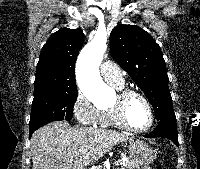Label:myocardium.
<instances>
[{
	"mask_svg": "<svg viewBox=\"0 0 200 169\" xmlns=\"http://www.w3.org/2000/svg\"><path fill=\"white\" fill-rule=\"evenodd\" d=\"M133 96L141 98L145 102L149 110L150 120H149V123L143 128H134L129 124L127 120L126 105H127L128 100ZM112 106L114 108L118 122L126 130H129L135 133H142V132L148 131L154 123L155 114H154L153 106L150 100L147 98V96L138 90L131 89V88H122L118 90L116 98Z\"/></svg>",
	"mask_w": 200,
	"mask_h": 169,
	"instance_id": "myocardium-1",
	"label": "myocardium"
}]
</instances>
